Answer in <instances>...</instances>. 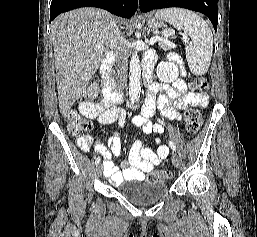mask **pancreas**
I'll return each instance as SVG.
<instances>
[{"label": "pancreas", "instance_id": "cf45deb5", "mask_svg": "<svg viewBox=\"0 0 257 237\" xmlns=\"http://www.w3.org/2000/svg\"><path fill=\"white\" fill-rule=\"evenodd\" d=\"M159 45L161 46V48H163L164 50H168L170 48H172V46H169L168 44L166 43H159Z\"/></svg>", "mask_w": 257, "mask_h": 237}]
</instances>
